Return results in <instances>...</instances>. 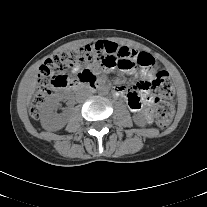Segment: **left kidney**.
I'll list each match as a JSON object with an SVG mask.
<instances>
[{
	"label": "left kidney",
	"mask_w": 207,
	"mask_h": 207,
	"mask_svg": "<svg viewBox=\"0 0 207 207\" xmlns=\"http://www.w3.org/2000/svg\"><path fill=\"white\" fill-rule=\"evenodd\" d=\"M133 120L135 124L139 127H144L147 124L145 118H143L141 115H138V114L133 116Z\"/></svg>",
	"instance_id": "1"
}]
</instances>
